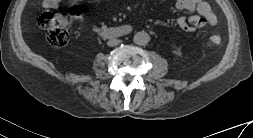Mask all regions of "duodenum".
<instances>
[{
    "label": "duodenum",
    "instance_id": "duodenum-1",
    "mask_svg": "<svg viewBox=\"0 0 253 138\" xmlns=\"http://www.w3.org/2000/svg\"><path fill=\"white\" fill-rule=\"evenodd\" d=\"M129 32V28L126 26L114 27V28H107L101 31V34L110 37V38H117L123 36Z\"/></svg>",
    "mask_w": 253,
    "mask_h": 138
}]
</instances>
